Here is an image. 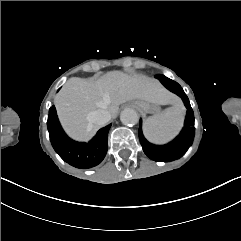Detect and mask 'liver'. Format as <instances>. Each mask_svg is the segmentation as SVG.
<instances>
[{"mask_svg":"<svg viewBox=\"0 0 241 241\" xmlns=\"http://www.w3.org/2000/svg\"><path fill=\"white\" fill-rule=\"evenodd\" d=\"M144 100L156 105L173 104L177 97L161 86L158 80L121 71H110L95 80L70 78L56 94L54 105L65 132L78 141H88L100 128L87 121V114L107 110L115 118L119 105L131 100Z\"/></svg>","mask_w":241,"mask_h":241,"instance_id":"obj_1","label":"liver"}]
</instances>
